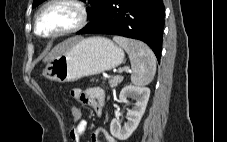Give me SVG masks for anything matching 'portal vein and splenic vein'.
<instances>
[{"mask_svg":"<svg viewBox=\"0 0 227 142\" xmlns=\"http://www.w3.org/2000/svg\"><path fill=\"white\" fill-rule=\"evenodd\" d=\"M122 71H126V72H128V71H129V68L125 67V68H123V70H122ZM122 71H120V72H122Z\"/></svg>","mask_w":227,"mask_h":142,"instance_id":"1","label":"portal vein and splenic vein"}]
</instances>
